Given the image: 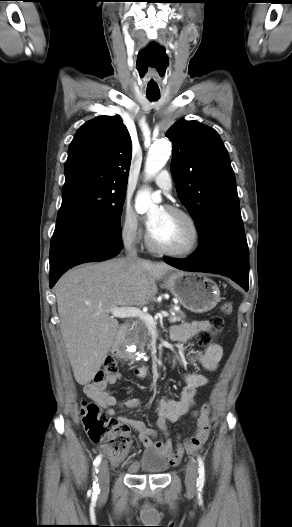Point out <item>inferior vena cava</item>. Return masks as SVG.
<instances>
[{"mask_svg":"<svg viewBox=\"0 0 292 527\" xmlns=\"http://www.w3.org/2000/svg\"><path fill=\"white\" fill-rule=\"evenodd\" d=\"M133 242L134 241H133L132 235L124 236V246H125L128 258L137 259L138 258L137 250Z\"/></svg>","mask_w":292,"mask_h":527,"instance_id":"obj_1","label":"inferior vena cava"}]
</instances>
